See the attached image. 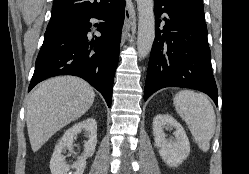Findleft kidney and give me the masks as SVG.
I'll list each match as a JSON object with an SVG mask.
<instances>
[{
	"instance_id": "5707ae66",
	"label": "left kidney",
	"mask_w": 249,
	"mask_h": 174,
	"mask_svg": "<svg viewBox=\"0 0 249 174\" xmlns=\"http://www.w3.org/2000/svg\"><path fill=\"white\" fill-rule=\"evenodd\" d=\"M175 129V139H166L164 128ZM153 135L155 146L163 161L170 167L180 165L190 153L189 139L181 126L171 115L159 114L153 119Z\"/></svg>"
}]
</instances>
